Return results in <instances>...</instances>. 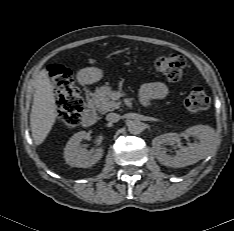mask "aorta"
Instances as JSON below:
<instances>
[{
    "instance_id": "aorta-1",
    "label": "aorta",
    "mask_w": 234,
    "mask_h": 231,
    "mask_svg": "<svg viewBox=\"0 0 234 231\" xmlns=\"http://www.w3.org/2000/svg\"><path fill=\"white\" fill-rule=\"evenodd\" d=\"M128 126V131L131 134H140L143 131V123L139 120H131L127 124Z\"/></svg>"
}]
</instances>
